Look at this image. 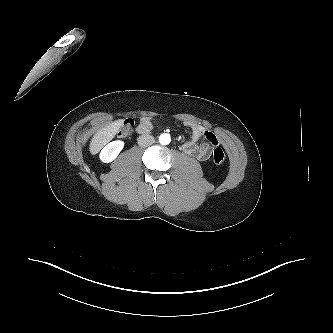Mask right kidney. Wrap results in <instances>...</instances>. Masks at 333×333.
Returning <instances> with one entry per match:
<instances>
[{
    "label": "right kidney",
    "instance_id": "obj_1",
    "mask_svg": "<svg viewBox=\"0 0 333 333\" xmlns=\"http://www.w3.org/2000/svg\"><path fill=\"white\" fill-rule=\"evenodd\" d=\"M124 147L121 140L112 141L107 144L100 152L99 158L103 163H109L116 159Z\"/></svg>",
    "mask_w": 333,
    "mask_h": 333
}]
</instances>
